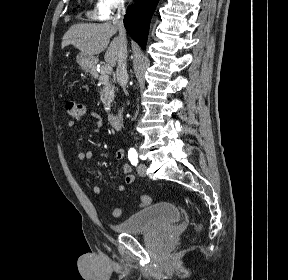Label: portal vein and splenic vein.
<instances>
[{"label": "portal vein and splenic vein", "instance_id": "1", "mask_svg": "<svg viewBox=\"0 0 288 280\" xmlns=\"http://www.w3.org/2000/svg\"><path fill=\"white\" fill-rule=\"evenodd\" d=\"M103 71H104L105 73H107V74L111 73V72H112V67H111V65H109V64L104 65V66H103Z\"/></svg>", "mask_w": 288, "mask_h": 280}]
</instances>
